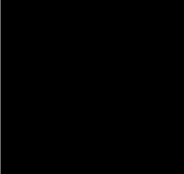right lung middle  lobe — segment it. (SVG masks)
Returning a JSON list of instances; mask_svg holds the SVG:
<instances>
[{"instance_id": "right-lung-middle-lobe-1", "label": "right lung middle lobe", "mask_w": 184, "mask_h": 174, "mask_svg": "<svg viewBox=\"0 0 184 174\" xmlns=\"http://www.w3.org/2000/svg\"><path fill=\"white\" fill-rule=\"evenodd\" d=\"M45 93L46 92H45L44 86L40 84V86L37 87V92H36V97H35V102H34L35 109L42 108L41 110H43V108H46L45 107L46 106L45 105L46 104V94ZM56 119L58 118H55V116H52V115H41L38 118V121H55Z\"/></svg>"}]
</instances>
